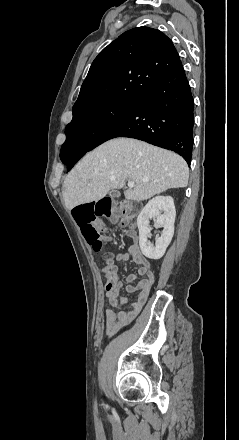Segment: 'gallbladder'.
Masks as SVG:
<instances>
[{
    "label": "gallbladder",
    "instance_id": "gallbladder-1",
    "mask_svg": "<svg viewBox=\"0 0 239 440\" xmlns=\"http://www.w3.org/2000/svg\"><path fill=\"white\" fill-rule=\"evenodd\" d=\"M110 196L111 198H119L120 197V191H118L117 189H114L113 192H110Z\"/></svg>",
    "mask_w": 239,
    "mask_h": 440
}]
</instances>
